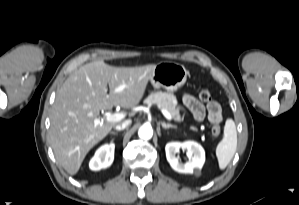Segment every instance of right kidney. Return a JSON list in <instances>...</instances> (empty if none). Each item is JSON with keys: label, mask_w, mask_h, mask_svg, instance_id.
<instances>
[{"label": "right kidney", "mask_w": 299, "mask_h": 205, "mask_svg": "<svg viewBox=\"0 0 299 205\" xmlns=\"http://www.w3.org/2000/svg\"><path fill=\"white\" fill-rule=\"evenodd\" d=\"M114 144H106L101 146L93 158L90 160L89 167L93 171L109 167L114 160Z\"/></svg>", "instance_id": "right-kidney-1"}]
</instances>
